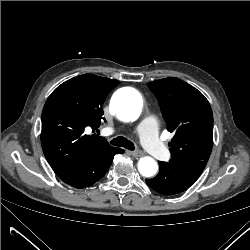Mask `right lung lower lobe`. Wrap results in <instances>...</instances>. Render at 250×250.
I'll return each mask as SVG.
<instances>
[{
	"label": "right lung lower lobe",
	"instance_id": "obj_1",
	"mask_svg": "<svg viewBox=\"0 0 250 250\" xmlns=\"http://www.w3.org/2000/svg\"><path fill=\"white\" fill-rule=\"evenodd\" d=\"M124 150L116 147L98 152L86 163L69 169L54 171L65 183L75 188H85L104 176L108 171L116 153Z\"/></svg>",
	"mask_w": 250,
	"mask_h": 250
}]
</instances>
